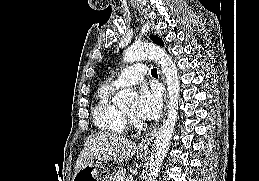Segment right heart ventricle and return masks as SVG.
Wrapping results in <instances>:
<instances>
[{
  "label": "right heart ventricle",
  "mask_w": 259,
  "mask_h": 181,
  "mask_svg": "<svg viewBox=\"0 0 259 181\" xmlns=\"http://www.w3.org/2000/svg\"><path fill=\"white\" fill-rule=\"evenodd\" d=\"M115 89L116 87L112 84H104L98 89L92 117L98 129L111 133H123L127 123L122 111L111 100Z\"/></svg>",
  "instance_id": "e07e8e85"
}]
</instances>
